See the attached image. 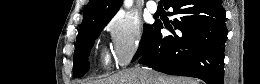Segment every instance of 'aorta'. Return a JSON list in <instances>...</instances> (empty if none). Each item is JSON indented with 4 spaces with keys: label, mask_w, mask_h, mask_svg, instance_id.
I'll return each mask as SVG.
<instances>
[{
    "label": "aorta",
    "mask_w": 260,
    "mask_h": 84,
    "mask_svg": "<svg viewBox=\"0 0 260 84\" xmlns=\"http://www.w3.org/2000/svg\"><path fill=\"white\" fill-rule=\"evenodd\" d=\"M124 5H125L126 7H130V6L132 5V1H131V0H126V1L124 2Z\"/></svg>",
    "instance_id": "1"
}]
</instances>
